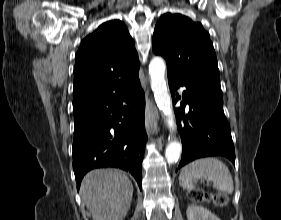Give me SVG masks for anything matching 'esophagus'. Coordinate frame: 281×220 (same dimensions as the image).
<instances>
[{
	"instance_id": "esophagus-1",
	"label": "esophagus",
	"mask_w": 281,
	"mask_h": 220,
	"mask_svg": "<svg viewBox=\"0 0 281 220\" xmlns=\"http://www.w3.org/2000/svg\"><path fill=\"white\" fill-rule=\"evenodd\" d=\"M159 114L156 106L152 101H148L145 112V126L149 136L157 135L160 131Z\"/></svg>"
}]
</instances>
